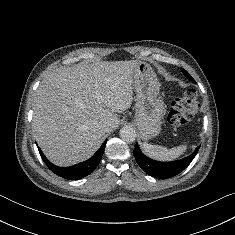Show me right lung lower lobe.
I'll return each instance as SVG.
<instances>
[{
  "label": "right lung lower lobe",
  "instance_id": "right-lung-lower-lobe-1",
  "mask_svg": "<svg viewBox=\"0 0 235 235\" xmlns=\"http://www.w3.org/2000/svg\"><path fill=\"white\" fill-rule=\"evenodd\" d=\"M105 146H106V141L102 144L99 150L90 159L70 167L55 166L45 157V155L42 153L39 147L38 150L42 160L53 173L65 179L77 180L91 174L94 171V169L97 167V165L101 160V157L105 150Z\"/></svg>",
  "mask_w": 235,
  "mask_h": 235
}]
</instances>
